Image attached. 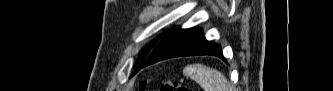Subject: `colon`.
<instances>
[{"label": "colon", "instance_id": "colon-1", "mask_svg": "<svg viewBox=\"0 0 333 91\" xmlns=\"http://www.w3.org/2000/svg\"><path fill=\"white\" fill-rule=\"evenodd\" d=\"M146 87H147V81H142L139 85V90L144 91L146 90ZM161 91H188V89L184 85L178 82L165 80L161 85Z\"/></svg>", "mask_w": 333, "mask_h": 91}]
</instances>
